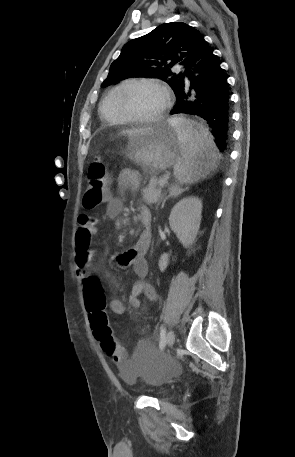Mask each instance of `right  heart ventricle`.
I'll return each instance as SVG.
<instances>
[{
    "label": "right heart ventricle",
    "mask_w": 295,
    "mask_h": 457,
    "mask_svg": "<svg viewBox=\"0 0 295 457\" xmlns=\"http://www.w3.org/2000/svg\"><path fill=\"white\" fill-rule=\"evenodd\" d=\"M126 82H122L113 88H111L103 97L100 106L99 112L101 117L108 123L113 125H120L129 122L125 117H123L115 107V95L118 89Z\"/></svg>",
    "instance_id": "e07e8e85"
}]
</instances>
